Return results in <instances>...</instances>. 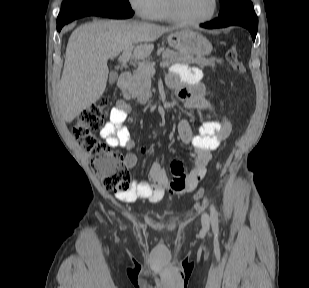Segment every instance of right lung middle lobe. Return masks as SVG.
<instances>
[{
	"label": "right lung middle lobe",
	"instance_id": "dd1d6c3e",
	"mask_svg": "<svg viewBox=\"0 0 309 288\" xmlns=\"http://www.w3.org/2000/svg\"><path fill=\"white\" fill-rule=\"evenodd\" d=\"M115 7L130 9L128 0H64L57 18V25L69 20L74 15L93 7Z\"/></svg>",
	"mask_w": 309,
	"mask_h": 288
}]
</instances>
